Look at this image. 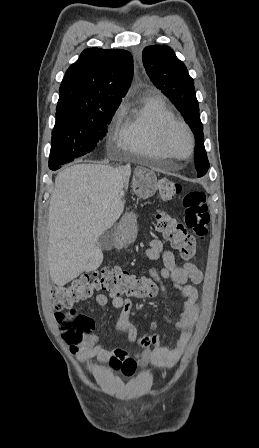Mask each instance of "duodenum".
Wrapping results in <instances>:
<instances>
[{
    "label": "duodenum",
    "instance_id": "obj_1",
    "mask_svg": "<svg viewBox=\"0 0 259 448\" xmlns=\"http://www.w3.org/2000/svg\"><path fill=\"white\" fill-rule=\"evenodd\" d=\"M123 245V242H122V240L120 239L119 241H118V243H117V246L118 247H121Z\"/></svg>",
    "mask_w": 259,
    "mask_h": 448
}]
</instances>
